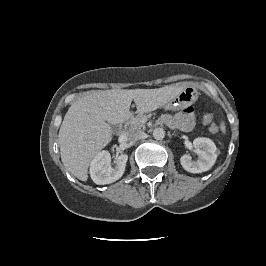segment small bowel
<instances>
[{
  "label": "small bowel",
  "mask_w": 266,
  "mask_h": 266,
  "mask_svg": "<svg viewBox=\"0 0 266 266\" xmlns=\"http://www.w3.org/2000/svg\"><path fill=\"white\" fill-rule=\"evenodd\" d=\"M161 121L169 127L189 131L194 126V112L192 108H187L174 115L166 114Z\"/></svg>",
  "instance_id": "obj_1"
}]
</instances>
